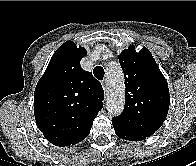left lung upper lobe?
<instances>
[{"mask_svg": "<svg viewBox=\"0 0 196 166\" xmlns=\"http://www.w3.org/2000/svg\"><path fill=\"white\" fill-rule=\"evenodd\" d=\"M125 74V109L112 123L149 137L163 124L169 110L168 83L150 51L132 45L118 55Z\"/></svg>", "mask_w": 196, "mask_h": 166, "instance_id": "left-lung-upper-lobe-1", "label": "left lung upper lobe"}]
</instances>
